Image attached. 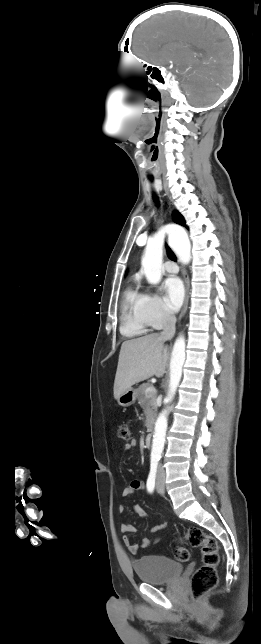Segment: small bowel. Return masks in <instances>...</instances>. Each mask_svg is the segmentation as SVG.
Returning a JSON list of instances; mask_svg holds the SVG:
<instances>
[{"label":"small bowel","mask_w":261,"mask_h":644,"mask_svg":"<svg viewBox=\"0 0 261 644\" xmlns=\"http://www.w3.org/2000/svg\"><path fill=\"white\" fill-rule=\"evenodd\" d=\"M136 446V441L132 440L131 442L125 444L124 450L129 451L132 448ZM145 487V483L142 480H133L130 482V484L125 487L122 491V496L123 497H129L133 495L136 491H139ZM120 512H123L125 510V507L121 505L119 507ZM133 510L137 516L140 518H145L147 513L145 509L140 506V505H135L133 507ZM166 527V523H160V524H155L150 527V532L155 533L158 531L163 530ZM121 532L124 534L123 535V541L125 545L128 547L129 551L133 554L138 553L140 548H148L152 544L156 543L158 539H149V538H143L140 543H136L132 540L130 534L135 532V527L132 524L128 523H123L120 527Z\"/></svg>","instance_id":"1"}]
</instances>
